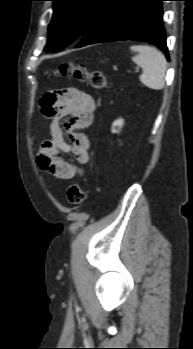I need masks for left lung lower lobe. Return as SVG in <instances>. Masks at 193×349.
Masks as SVG:
<instances>
[{"label":"left lung lower lobe","mask_w":193,"mask_h":349,"mask_svg":"<svg viewBox=\"0 0 193 349\" xmlns=\"http://www.w3.org/2000/svg\"><path fill=\"white\" fill-rule=\"evenodd\" d=\"M161 1L164 0H108L76 48L107 41H146L157 45L169 60Z\"/></svg>","instance_id":"obj_1"}]
</instances>
